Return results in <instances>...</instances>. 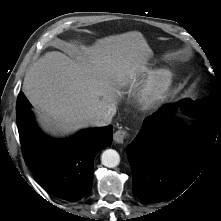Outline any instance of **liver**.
I'll use <instances>...</instances> for the list:
<instances>
[{
  "label": "liver",
  "instance_id": "obj_1",
  "mask_svg": "<svg viewBox=\"0 0 221 221\" xmlns=\"http://www.w3.org/2000/svg\"><path fill=\"white\" fill-rule=\"evenodd\" d=\"M72 51L75 60L48 52L24 77L23 92L46 131L70 133L88 127L92 114L117 104L120 81L142 67L151 52L137 31L105 37L91 47L73 46Z\"/></svg>",
  "mask_w": 221,
  "mask_h": 221
}]
</instances>
